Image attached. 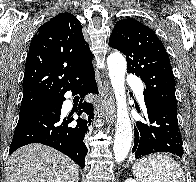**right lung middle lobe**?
Listing matches in <instances>:
<instances>
[{
  "instance_id": "1",
  "label": "right lung middle lobe",
  "mask_w": 196,
  "mask_h": 182,
  "mask_svg": "<svg viewBox=\"0 0 196 182\" xmlns=\"http://www.w3.org/2000/svg\"><path fill=\"white\" fill-rule=\"evenodd\" d=\"M48 100L36 104H31V105H21L20 108V114L31 111L33 109L41 107L44 103H46Z\"/></svg>"
}]
</instances>
